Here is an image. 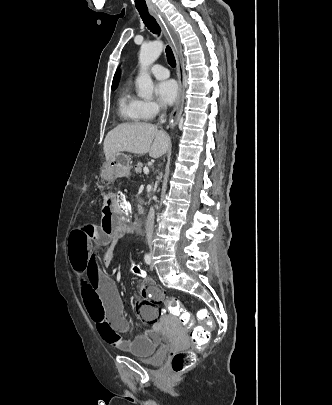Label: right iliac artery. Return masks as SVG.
<instances>
[{
  "label": "right iliac artery",
  "mask_w": 332,
  "mask_h": 405,
  "mask_svg": "<svg viewBox=\"0 0 332 405\" xmlns=\"http://www.w3.org/2000/svg\"><path fill=\"white\" fill-rule=\"evenodd\" d=\"M144 260L145 263L149 265L151 263V256L149 254H145Z\"/></svg>",
  "instance_id": "82829eb1"
}]
</instances>
